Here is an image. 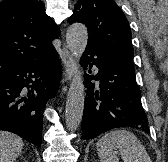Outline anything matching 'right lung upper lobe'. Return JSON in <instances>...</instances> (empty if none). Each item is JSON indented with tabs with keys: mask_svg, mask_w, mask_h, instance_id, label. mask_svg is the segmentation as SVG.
Wrapping results in <instances>:
<instances>
[{
	"mask_svg": "<svg viewBox=\"0 0 168 162\" xmlns=\"http://www.w3.org/2000/svg\"><path fill=\"white\" fill-rule=\"evenodd\" d=\"M60 34L40 0L0 2V76L28 62L44 59Z\"/></svg>",
	"mask_w": 168,
	"mask_h": 162,
	"instance_id": "right-lung-upper-lobe-1",
	"label": "right lung upper lobe"
}]
</instances>
